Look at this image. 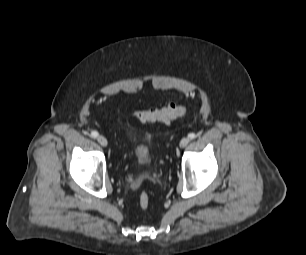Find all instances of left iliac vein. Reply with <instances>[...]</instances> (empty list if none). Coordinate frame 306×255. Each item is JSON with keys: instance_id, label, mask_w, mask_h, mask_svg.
Returning a JSON list of instances; mask_svg holds the SVG:
<instances>
[{"instance_id": "obj_1", "label": "left iliac vein", "mask_w": 306, "mask_h": 255, "mask_svg": "<svg viewBox=\"0 0 306 255\" xmlns=\"http://www.w3.org/2000/svg\"><path fill=\"white\" fill-rule=\"evenodd\" d=\"M189 142H190V139L188 137H184V138L181 139L179 145H180L181 148H184L189 144Z\"/></svg>"}]
</instances>
